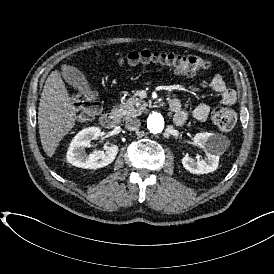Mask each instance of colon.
<instances>
[{
    "label": "colon",
    "mask_w": 274,
    "mask_h": 274,
    "mask_svg": "<svg viewBox=\"0 0 274 274\" xmlns=\"http://www.w3.org/2000/svg\"><path fill=\"white\" fill-rule=\"evenodd\" d=\"M119 66L126 65H156L166 66L170 70L181 74H193L209 69V61L199 55L159 51L154 49L132 50L119 59ZM72 101L79 108L83 117L91 116L98 111L99 104L91 86L77 89L71 95ZM212 120L215 126L222 131H231L237 122L235 111L229 106L218 107L213 111Z\"/></svg>",
    "instance_id": "colon-1"
}]
</instances>
